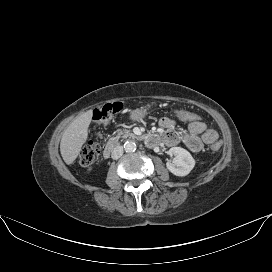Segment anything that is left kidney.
Returning <instances> with one entry per match:
<instances>
[{
    "label": "left kidney",
    "instance_id": "5707ae66",
    "mask_svg": "<svg viewBox=\"0 0 272 272\" xmlns=\"http://www.w3.org/2000/svg\"><path fill=\"white\" fill-rule=\"evenodd\" d=\"M168 154L174 156L172 162H167V169L176 176H186L195 166L192 155L184 148L172 147Z\"/></svg>",
    "mask_w": 272,
    "mask_h": 272
}]
</instances>
